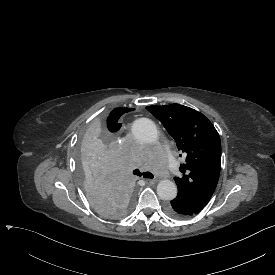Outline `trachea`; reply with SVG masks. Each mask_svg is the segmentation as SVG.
<instances>
[{"label":"trachea","instance_id":"3493384b","mask_svg":"<svg viewBox=\"0 0 275 275\" xmlns=\"http://www.w3.org/2000/svg\"><path fill=\"white\" fill-rule=\"evenodd\" d=\"M134 175H137V176H142L146 179H151V178H154V175L150 172H145V173H141L138 169H136L134 172H133Z\"/></svg>","mask_w":275,"mask_h":275}]
</instances>
